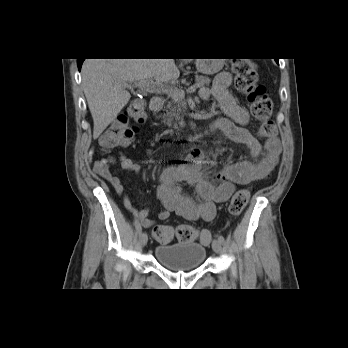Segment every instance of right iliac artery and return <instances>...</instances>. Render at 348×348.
Here are the masks:
<instances>
[{"mask_svg": "<svg viewBox=\"0 0 348 348\" xmlns=\"http://www.w3.org/2000/svg\"><path fill=\"white\" fill-rule=\"evenodd\" d=\"M134 222H135V225H136V231L138 234H140L142 232V227L140 225L139 222V217H134Z\"/></svg>", "mask_w": 348, "mask_h": 348, "instance_id": "1", "label": "right iliac artery"}]
</instances>
